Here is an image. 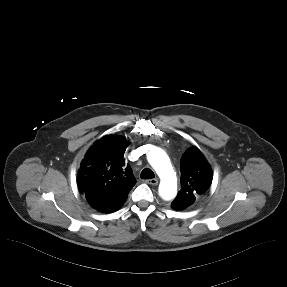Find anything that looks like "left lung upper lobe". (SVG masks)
Listing matches in <instances>:
<instances>
[{
	"label": "left lung upper lobe",
	"instance_id": "left-lung-upper-lobe-1",
	"mask_svg": "<svg viewBox=\"0 0 287 287\" xmlns=\"http://www.w3.org/2000/svg\"><path fill=\"white\" fill-rule=\"evenodd\" d=\"M181 187L172 202V208L183 210L204 194L212 182V169L201 151L192 146L183 154L181 161Z\"/></svg>",
	"mask_w": 287,
	"mask_h": 287
}]
</instances>
